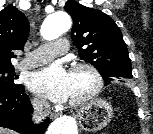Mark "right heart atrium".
Here are the masks:
<instances>
[{
	"label": "right heart atrium",
	"instance_id": "d8ad5b80",
	"mask_svg": "<svg viewBox=\"0 0 153 134\" xmlns=\"http://www.w3.org/2000/svg\"><path fill=\"white\" fill-rule=\"evenodd\" d=\"M33 105L37 109H43L46 106V102L40 97H35L33 99Z\"/></svg>",
	"mask_w": 153,
	"mask_h": 134
}]
</instances>
